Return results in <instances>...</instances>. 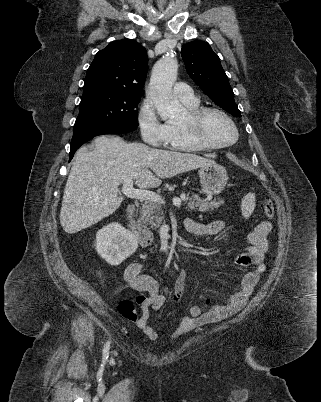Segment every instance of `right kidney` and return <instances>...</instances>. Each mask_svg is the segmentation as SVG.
I'll return each instance as SVG.
<instances>
[{
    "label": "right kidney",
    "mask_w": 321,
    "mask_h": 402,
    "mask_svg": "<svg viewBox=\"0 0 321 402\" xmlns=\"http://www.w3.org/2000/svg\"><path fill=\"white\" fill-rule=\"evenodd\" d=\"M137 247L136 236L116 222L104 226L96 234V251L112 266L120 265Z\"/></svg>",
    "instance_id": "1"
}]
</instances>
